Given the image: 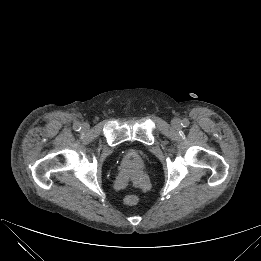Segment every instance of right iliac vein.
I'll return each instance as SVG.
<instances>
[{
    "label": "right iliac vein",
    "mask_w": 261,
    "mask_h": 261,
    "mask_svg": "<svg viewBox=\"0 0 261 261\" xmlns=\"http://www.w3.org/2000/svg\"><path fill=\"white\" fill-rule=\"evenodd\" d=\"M82 129H83L84 131H87V130L89 129V125H88L87 123H84V124L82 125Z\"/></svg>",
    "instance_id": "63e3f726"
}]
</instances>
